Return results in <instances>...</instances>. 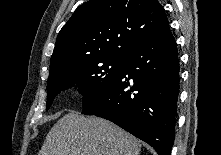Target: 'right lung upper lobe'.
<instances>
[{"instance_id": "right-lung-upper-lobe-1", "label": "right lung upper lobe", "mask_w": 221, "mask_h": 155, "mask_svg": "<svg viewBox=\"0 0 221 155\" xmlns=\"http://www.w3.org/2000/svg\"><path fill=\"white\" fill-rule=\"evenodd\" d=\"M168 27L157 0H89L59 32L50 74L81 60L127 56L140 40Z\"/></svg>"}]
</instances>
